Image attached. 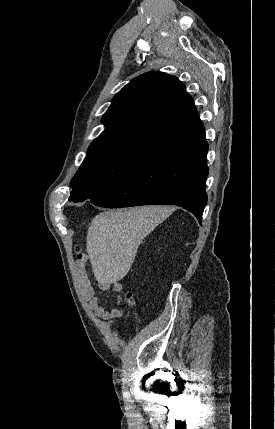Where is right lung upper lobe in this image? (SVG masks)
Wrapping results in <instances>:
<instances>
[{"label":"right lung upper lobe","instance_id":"1","mask_svg":"<svg viewBox=\"0 0 275 429\" xmlns=\"http://www.w3.org/2000/svg\"><path fill=\"white\" fill-rule=\"evenodd\" d=\"M104 131L88 155L109 148L152 156L164 147L204 130L193 100L176 77L151 71L118 92L102 117Z\"/></svg>","mask_w":275,"mask_h":429}]
</instances>
